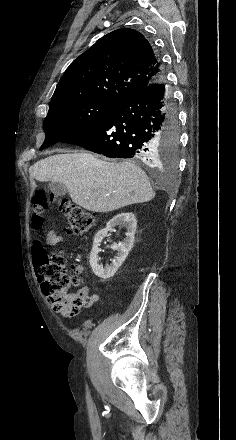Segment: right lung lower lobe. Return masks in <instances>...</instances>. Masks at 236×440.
I'll return each instance as SVG.
<instances>
[{
    "label": "right lung lower lobe",
    "mask_w": 236,
    "mask_h": 440,
    "mask_svg": "<svg viewBox=\"0 0 236 440\" xmlns=\"http://www.w3.org/2000/svg\"><path fill=\"white\" fill-rule=\"evenodd\" d=\"M157 65L161 68L159 60ZM175 129L177 114L164 76H160L157 81L121 103L91 128L64 142L111 158H133L150 162L161 133Z\"/></svg>",
    "instance_id": "98d812e1"
}]
</instances>
